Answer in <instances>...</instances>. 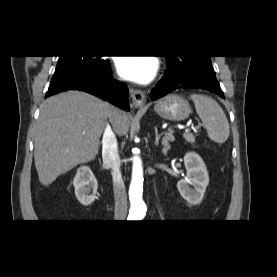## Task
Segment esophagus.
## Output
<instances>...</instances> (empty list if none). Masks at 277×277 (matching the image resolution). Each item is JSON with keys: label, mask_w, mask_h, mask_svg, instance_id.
I'll return each mask as SVG.
<instances>
[{"label": "esophagus", "mask_w": 277, "mask_h": 277, "mask_svg": "<svg viewBox=\"0 0 277 277\" xmlns=\"http://www.w3.org/2000/svg\"><path fill=\"white\" fill-rule=\"evenodd\" d=\"M130 95L135 108H144L146 103V96L143 91L130 88Z\"/></svg>", "instance_id": "34e87169"}]
</instances>
